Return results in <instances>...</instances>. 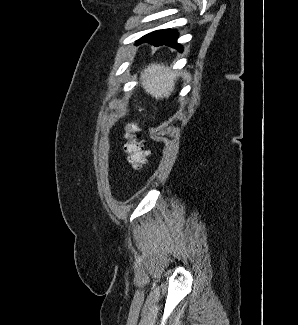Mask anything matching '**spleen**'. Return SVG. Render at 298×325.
Listing matches in <instances>:
<instances>
[{"mask_svg": "<svg viewBox=\"0 0 298 325\" xmlns=\"http://www.w3.org/2000/svg\"><path fill=\"white\" fill-rule=\"evenodd\" d=\"M142 86L154 98H168L175 88L176 72L168 70L163 62H151L143 68L141 74Z\"/></svg>", "mask_w": 298, "mask_h": 325, "instance_id": "1", "label": "spleen"}]
</instances>
